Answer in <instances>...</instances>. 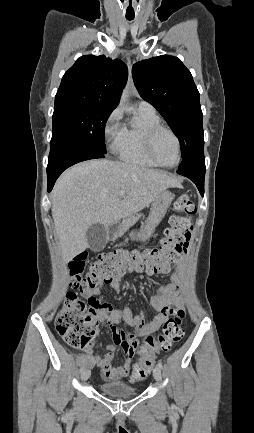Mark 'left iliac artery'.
Instances as JSON below:
<instances>
[{
	"label": "left iliac artery",
	"instance_id": "obj_1",
	"mask_svg": "<svg viewBox=\"0 0 254 433\" xmlns=\"http://www.w3.org/2000/svg\"><path fill=\"white\" fill-rule=\"evenodd\" d=\"M157 366H158L160 369H162V368H163L162 362H161V361H158Z\"/></svg>",
	"mask_w": 254,
	"mask_h": 433
}]
</instances>
